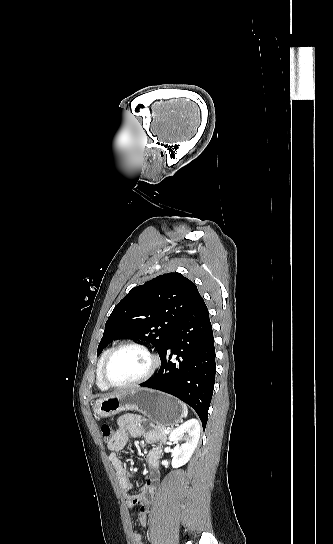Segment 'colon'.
Instances as JSON below:
<instances>
[{
  "label": "colon",
  "mask_w": 333,
  "mask_h": 544,
  "mask_svg": "<svg viewBox=\"0 0 333 544\" xmlns=\"http://www.w3.org/2000/svg\"><path fill=\"white\" fill-rule=\"evenodd\" d=\"M100 432L105 442L111 441L113 434H112V429L108 424L102 423L100 425Z\"/></svg>",
  "instance_id": "obj_1"
}]
</instances>
